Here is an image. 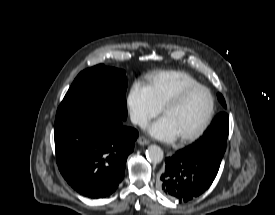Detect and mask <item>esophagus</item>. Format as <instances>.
Instances as JSON below:
<instances>
[{"mask_svg": "<svg viewBox=\"0 0 275 215\" xmlns=\"http://www.w3.org/2000/svg\"><path fill=\"white\" fill-rule=\"evenodd\" d=\"M137 142L140 144V145H148L149 144V140L146 139L144 136H139L138 139H137Z\"/></svg>", "mask_w": 275, "mask_h": 215, "instance_id": "1", "label": "esophagus"}]
</instances>
